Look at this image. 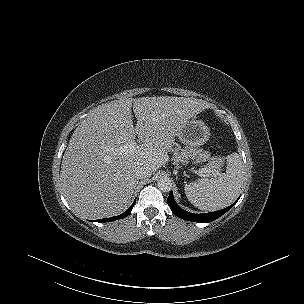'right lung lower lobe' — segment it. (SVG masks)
<instances>
[{
  "label": "right lung lower lobe",
  "mask_w": 304,
  "mask_h": 304,
  "mask_svg": "<svg viewBox=\"0 0 304 304\" xmlns=\"http://www.w3.org/2000/svg\"><path fill=\"white\" fill-rule=\"evenodd\" d=\"M134 205H135V201L129 207V209L127 211H125L121 215H118V216H115V217L106 218V219H100V220H96V221L99 222V223H102V222H110V221H114V220L125 218L131 212V210H132V208H133Z\"/></svg>",
  "instance_id": "obj_1"
}]
</instances>
